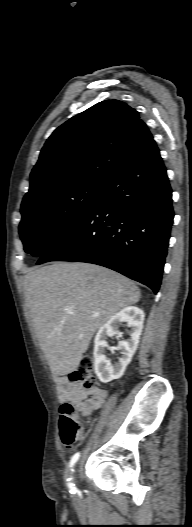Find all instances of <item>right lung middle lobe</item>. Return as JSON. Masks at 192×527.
<instances>
[{
    "label": "right lung middle lobe",
    "instance_id": "1",
    "mask_svg": "<svg viewBox=\"0 0 192 527\" xmlns=\"http://www.w3.org/2000/svg\"><path fill=\"white\" fill-rule=\"evenodd\" d=\"M104 186L84 181L23 202L19 234L25 251L35 257L44 255L84 217Z\"/></svg>",
    "mask_w": 192,
    "mask_h": 527
}]
</instances>
